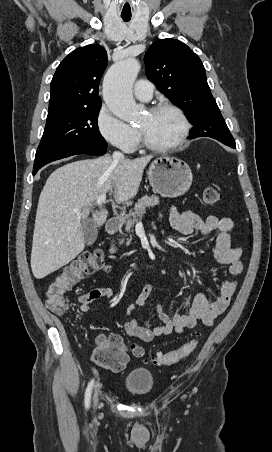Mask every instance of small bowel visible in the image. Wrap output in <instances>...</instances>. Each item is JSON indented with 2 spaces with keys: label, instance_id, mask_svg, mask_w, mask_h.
I'll return each mask as SVG.
<instances>
[{
  "label": "small bowel",
  "instance_id": "small-bowel-1",
  "mask_svg": "<svg viewBox=\"0 0 272 452\" xmlns=\"http://www.w3.org/2000/svg\"><path fill=\"white\" fill-rule=\"evenodd\" d=\"M165 215L171 227L181 235L191 236L196 232H200L204 236L216 234L214 257L219 264L229 266V275L214 299L211 300L204 294H197L186 313L168 314L162 310L159 304L155 303L154 308L160 322L158 325H153L148 321L141 324L138 319L131 317L139 308L147 306L148 302L154 298V284H146L135 302L127 308L126 315L129 319L123 325L127 335L144 342H151L155 337L181 333L184 329L194 328L199 320L205 325H212L214 319L227 309L236 291L238 278L244 271L241 260L243 250L241 247L232 246L234 229L232 219L219 218L214 215L203 216L192 210L178 212L172 207L166 210ZM112 296L113 290L110 287L94 288L78 296L79 310L83 313L89 312L94 302L109 299ZM104 337L106 336H98L97 341ZM112 337L121 340L117 334H113Z\"/></svg>",
  "mask_w": 272,
  "mask_h": 452
}]
</instances>
